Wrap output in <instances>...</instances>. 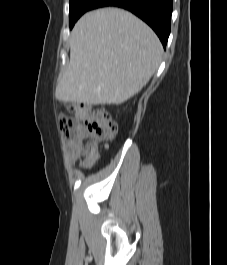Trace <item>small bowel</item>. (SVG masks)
<instances>
[{"label": "small bowel", "instance_id": "obj_1", "mask_svg": "<svg viewBox=\"0 0 227 265\" xmlns=\"http://www.w3.org/2000/svg\"><path fill=\"white\" fill-rule=\"evenodd\" d=\"M82 129H75L68 142V150L72 162L79 163L84 168H90L97 158V147L94 149H85L79 143Z\"/></svg>", "mask_w": 227, "mask_h": 265}]
</instances>
